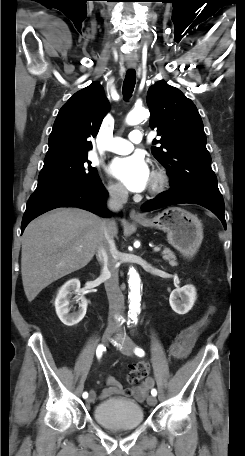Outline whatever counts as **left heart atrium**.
<instances>
[{"label":"left heart atrium","instance_id":"39dd6f15","mask_svg":"<svg viewBox=\"0 0 245 456\" xmlns=\"http://www.w3.org/2000/svg\"><path fill=\"white\" fill-rule=\"evenodd\" d=\"M108 170L113 177L133 192L143 191L151 179L148 164L139 153L115 158Z\"/></svg>","mask_w":245,"mask_h":456}]
</instances>
